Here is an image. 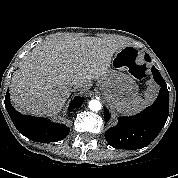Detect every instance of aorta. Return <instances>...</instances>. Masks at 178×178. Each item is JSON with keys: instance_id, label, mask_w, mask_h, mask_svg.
Returning <instances> with one entry per match:
<instances>
[{"instance_id": "aorta-1", "label": "aorta", "mask_w": 178, "mask_h": 178, "mask_svg": "<svg viewBox=\"0 0 178 178\" xmlns=\"http://www.w3.org/2000/svg\"><path fill=\"white\" fill-rule=\"evenodd\" d=\"M89 108L92 111H99L101 109V103L99 100L93 99L89 102Z\"/></svg>"}]
</instances>
